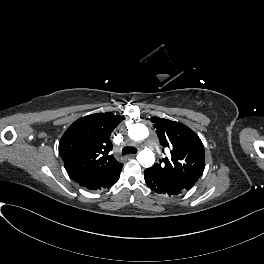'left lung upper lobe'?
Listing matches in <instances>:
<instances>
[{"instance_id":"1","label":"left lung upper lobe","mask_w":264,"mask_h":264,"mask_svg":"<svg viewBox=\"0 0 264 264\" xmlns=\"http://www.w3.org/2000/svg\"><path fill=\"white\" fill-rule=\"evenodd\" d=\"M153 119L160 143L169 152L145 173L184 193L195 185L204 171L203 143L193 130L182 123L157 117Z\"/></svg>"}]
</instances>
